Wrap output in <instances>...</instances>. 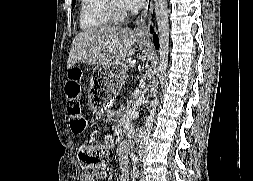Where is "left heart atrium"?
<instances>
[{"mask_svg": "<svg viewBox=\"0 0 253 181\" xmlns=\"http://www.w3.org/2000/svg\"><path fill=\"white\" fill-rule=\"evenodd\" d=\"M123 6L128 10H136L143 6L145 0H122Z\"/></svg>", "mask_w": 253, "mask_h": 181, "instance_id": "obj_1", "label": "left heart atrium"}]
</instances>
